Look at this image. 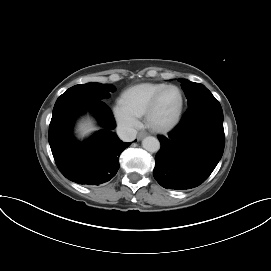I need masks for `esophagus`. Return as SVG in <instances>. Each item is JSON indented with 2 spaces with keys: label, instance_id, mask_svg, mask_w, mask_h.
Returning a JSON list of instances; mask_svg holds the SVG:
<instances>
[{
  "label": "esophagus",
  "instance_id": "obj_1",
  "mask_svg": "<svg viewBox=\"0 0 271 271\" xmlns=\"http://www.w3.org/2000/svg\"><path fill=\"white\" fill-rule=\"evenodd\" d=\"M145 136H147V132H145V131H140V132L138 133L137 139H138V140H141V139H143Z\"/></svg>",
  "mask_w": 271,
  "mask_h": 271
}]
</instances>
